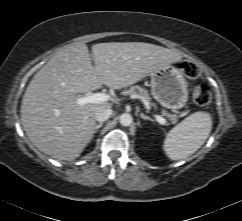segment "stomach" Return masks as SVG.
<instances>
[{"instance_id":"1","label":"stomach","mask_w":242,"mask_h":221,"mask_svg":"<svg viewBox=\"0 0 242 221\" xmlns=\"http://www.w3.org/2000/svg\"><path fill=\"white\" fill-rule=\"evenodd\" d=\"M151 92L157 102L168 109H180L188 101V83L183 72L165 65L151 74Z\"/></svg>"}]
</instances>
